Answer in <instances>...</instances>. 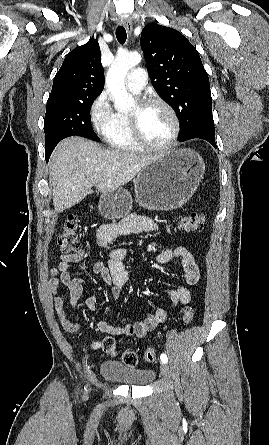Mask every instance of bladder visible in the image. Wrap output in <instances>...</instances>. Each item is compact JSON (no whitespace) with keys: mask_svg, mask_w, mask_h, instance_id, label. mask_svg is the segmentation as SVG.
<instances>
[{"mask_svg":"<svg viewBox=\"0 0 269 445\" xmlns=\"http://www.w3.org/2000/svg\"><path fill=\"white\" fill-rule=\"evenodd\" d=\"M100 374L104 379L135 387L147 386L155 378V372L151 369L128 367L116 360L104 361Z\"/></svg>","mask_w":269,"mask_h":445,"instance_id":"obj_1","label":"bladder"}]
</instances>
